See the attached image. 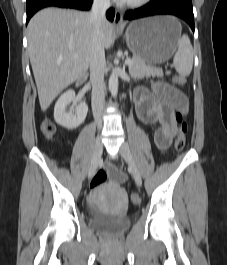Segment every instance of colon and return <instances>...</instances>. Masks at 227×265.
<instances>
[{
  "label": "colon",
  "instance_id": "colon-1",
  "mask_svg": "<svg viewBox=\"0 0 227 265\" xmlns=\"http://www.w3.org/2000/svg\"><path fill=\"white\" fill-rule=\"evenodd\" d=\"M172 82L176 86L181 87L185 84L186 79L183 75L174 74L172 76ZM175 120L177 122V135L174 142V149L175 151L180 152L184 149L186 145V133L188 130V126L187 123L184 121L183 115L181 113H177L175 115ZM55 130V125L49 119H45L41 123V131L46 138H51L54 135ZM107 177L108 174L105 170H99L92 179L91 188H96L105 183ZM130 198L132 203L134 204L140 202V198L137 194H132Z\"/></svg>",
  "mask_w": 227,
  "mask_h": 265
}]
</instances>
